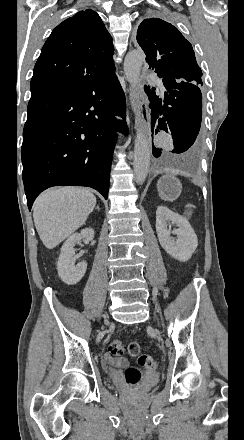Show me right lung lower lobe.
Here are the masks:
<instances>
[{
	"mask_svg": "<svg viewBox=\"0 0 244 440\" xmlns=\"http://www.w3.org/2000/svg\"><path fill=\"white\" fill-rule=\"evenodd\" d=\"M21 148L31 210L52 186H87L108 197L115 145L114 115L125 100L114 69L71 85L31 93ZM123 131L127 127L123 124Z\"/></svg>",
	"mask_w": 244,
	"mask_h": 440,
	"instance_id": "1",
	"label": "right lung lower lobe"
}]
</instances>
